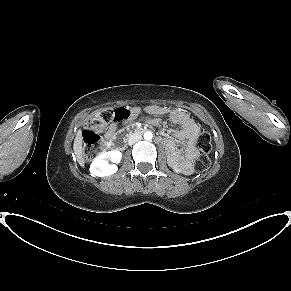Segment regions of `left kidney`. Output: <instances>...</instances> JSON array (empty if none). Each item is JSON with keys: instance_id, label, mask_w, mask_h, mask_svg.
Segmentation results:
<instances>
[{"instance_id": "obj_1", "label": "left kidney", "mask_w": 291, "mask_h": 291, "mask_svg": "<svg viewBox=\"0 0 291 291\" xmlns=\"http://www.w3.org/2000/svg\"><path fill=\"white\" fill-rule=\"evenodd\" d=\"M175 171H176V172H179V169H176V168H175Z\"/></svg>"}]
</instances>
